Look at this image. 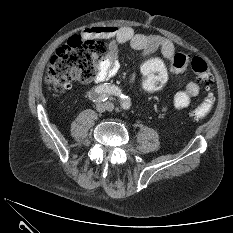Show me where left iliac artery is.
<instances>
[{
    "label": "left iliac artery",
    "mask_w": 233,
    "mask_h": 233,
    "mask_svg": "<svg viewBox=\"0 0 233 233\" xmlns=\"http://www.w3.org/2000/svg\"><path fill=\"white\" fill-rule=\"evenodd\" d=\"M119 97H120V103H121L122 108L125 110L129 109V107L131 105L130 99L127 96H125L124 94L120 95Z\"/></svg>",
    "instance_id": "left-iliac-artery-1"
}]
</instances>
